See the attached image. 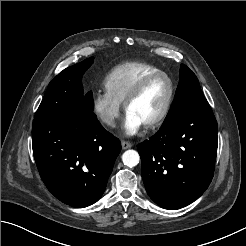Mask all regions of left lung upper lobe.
<instances>
[{
    "mask_svg": "<svg viewBox=\"0 0 246 246\" xmlns=\"http://www.w3.org/2000/svg\"><path fill=\"white\" fill-rule=\"evenodd\" d=\"M195 74L184 64L180 66V80L170 112L164 121L171 120L174 116L186 110L207 105Z\"/></svg>",
    "mask_w": 246,
    "mask_h": 246,
    "instance_id": "5c2ea615",
    "label": "left lung upper lobe"
}]
</instances>
